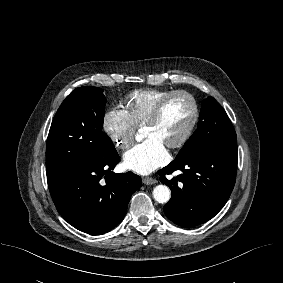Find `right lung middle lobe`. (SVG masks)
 <instances>
[{
	"mask_svg": "<svg viewBox=\"0 0 283 283\" xmlns=\"http://www.w3.org/2000/svg\"><path fill=\"white\" fill-rule=\"evenodd\" d=\"M106 98L98 87H79L65 98L47 140V177L91 163L115 149L102 132Z\"/></svg>",
	"mask_w": 283,
	"mask_h": 283,
	"instance_id": "right-lung-middle-lobe-1",
	"label": "right lung middle lobe"
}]
</instances>
